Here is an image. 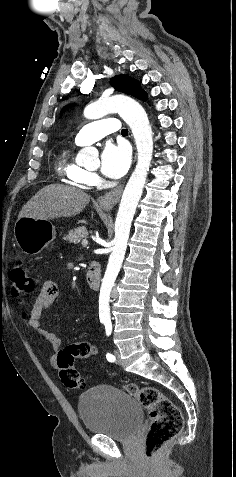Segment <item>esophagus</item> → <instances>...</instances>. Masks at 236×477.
Returning a JSON list of instances; mask_svg holds the SVG:
<instances>
[{"label":"esophagus","mask_w":236,"mask_h":477,"mask_svg":"<svg viewBox=\"0 0 236 477\" xmlns=\"http://www.w3.org/2000/svg\"><path fill=\"white\" fill-rule=\"evenodd\" d=\"M123 190V185H120L114 188L112 191L105 193L103 196L98 198V204L100 207L110 210L112 209L120 200Z\"/></svg>","instance_id":"34e87169"}]
</instances>
